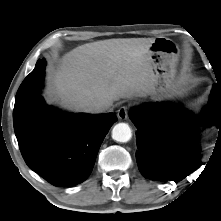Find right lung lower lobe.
Listing matches in <instances>:
<instances>
[{"label":"right lung lower lobe","mask_w":221,"mask_h":221,"mask_svg":"<svg viewBox=\"0 0 221 221\" xmlns=\"http://www.w3.org/2000/svg\"><path fill=\"white\" fill-rule=\"evenodd\" d=\"M45 60L18 89L13 112L14 131L22 156L30 169L58 187L76 185L90 175L100 145L117 121L109 114H69L46 106L40 96ZM22 103L27 115L16 121Z\"/></svg>","instance_id":"98d812e1"}]
</instances>
